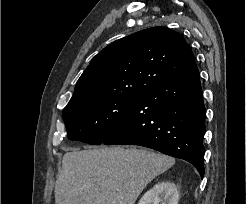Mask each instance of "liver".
I'll list each match as a JSON object with an SVG mask.
<instances>
[{
    "label": "liver",
    "instance_id": "obj_1",
    "mask_svg": "<svg viewBox=\"0 0 246 204\" xmlns=\"http://www.w3.org/2000/svg\"><path fill=\"white\" fill-rule=\"evenodd\" d=\"M175 159L135 147L66 152L55 183V204H135L138 196Z\"/></svg>",
    "mask_w": 246,
    "mask_h": 204
}]
</instances>
